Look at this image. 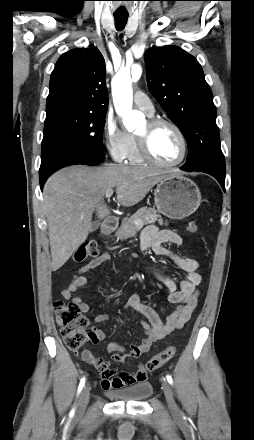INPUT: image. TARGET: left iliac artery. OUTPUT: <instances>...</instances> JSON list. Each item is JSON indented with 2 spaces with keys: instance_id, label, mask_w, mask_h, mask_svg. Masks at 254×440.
Here are the masks:
<instances>
[{
  "instance_id": "44dca946",
  "label": "left iliac artery",
  "mask_w": 254,
  "mask_h": 440,
  "mask_svg": "<svg viewBox=\"0 0 254 440\" xmlns=\"http://www.w3.org/2000/svg\"><path fill=\"white\" fill-rule=\"evenodd\" d=\"M166 379L169 382V384H171V385L173 384V379H172V377L170 375H167Z\"/></svg>"
}]
</instances>
